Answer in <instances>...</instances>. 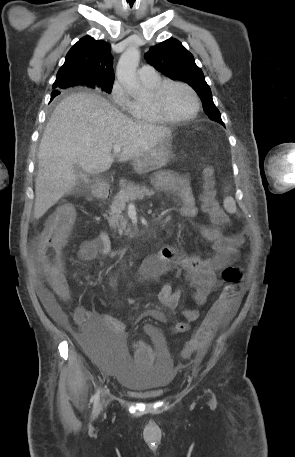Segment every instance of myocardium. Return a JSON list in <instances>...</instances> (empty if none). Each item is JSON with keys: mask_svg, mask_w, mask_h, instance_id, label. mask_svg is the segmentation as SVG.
<instances>
[{"mask_svg": "<svg viewBox=\"0 0 295 457\" xmlns=\"http://www.w3.org/2000/svg\"><path fill=\"white\" fill-rule=\"evenodd\" d=\"M170 86L183 87L187 89L192 95L194 100V109L189 115L184 117H172L165 112L163 107V95L166 89ZM149 103L156 116L163 122L167 123H182L190 121L198 115L201 108L200 98L196 91L187 83L176 80H163L157 86H155L151 91Z\"/></svg>", "mask_w": 295, "mask_h": 457, "instance_id": "myocardium-1", "label": "myocardium"}]
</instances>
